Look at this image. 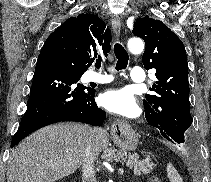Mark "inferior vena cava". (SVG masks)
Returning <instances> with one entry per match:
<instances>
[{"instance_id": "inferior-vena-cava-1", "label": "inferior vena cava", "mask_w": 211, "mask_h": 182, "mask_svg": "<svg viewBox=\"0 0 211 182\" xmlns=\"http://www.w3.org/2000/svg\"><path fill=\"white\" fill-rule=\"evenodd\" d=\"M95 133L96 130L92 129L84 152L83 163H82L83 182H96L94 174V162L97 159L98 154L94 151Z\"/></svg>"}]
</instances>
